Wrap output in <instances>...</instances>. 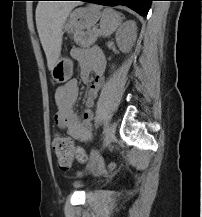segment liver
I'll return each instance as SVG.
<instances>
[{
  "mask_svg": "<svg viewBox=\"0 0 202 217\" xmlns=\"http://www.w3.org/2000/svg\"><path fill=\"white\" fill-rule=\"evenodd\" d=\"M76 6V3L61 2H42L37 5L36 26L50 71L60 56L63 25Z\"/></svg>",
  "mask_w": 202,
  "mask_h": 217,
  "instance_id": "liver-1",
  "label": "liver"
}]
</instances>
